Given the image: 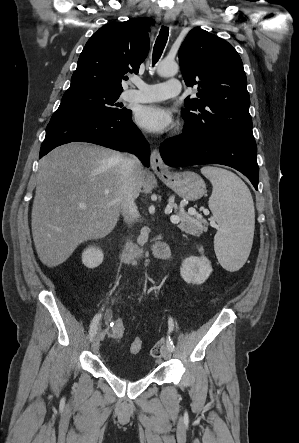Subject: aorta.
I'll return each mask as SVG.
<instances>
[{"label": "aorta", "instance_id": "762f6f07", "mask_svg": "<svg viewBox=\"0 0 299 443\" xmlns=\"http://www.w3.org/2000/svg\"><path fill=\"white\" fill-rule=\"evenodd\" d=\"M178 70V64L171 60H163L157 65V73L162 77H172L178 73Z\"/></svg>", "mask_w": 299, "mask_h": 443}]
</instances>
